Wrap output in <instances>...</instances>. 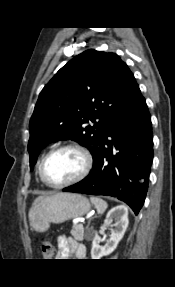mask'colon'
<instances>
[{
    "mask_svg": "<svg viewBox=\"0 0 175 287\" xmlns=\"http://www.w3.org/2000/svg\"><path fill=\"white\" fill-rule=\"evenodd\" d=\"M41 252L45 260H50L54 256V246L49 240H43L41 243Z\"/></svg>",
    "mask_w": 175,
    "mask_h": 287,
    "instance_id": "obj_1",
    "label": "colon"
}]
</instances>
